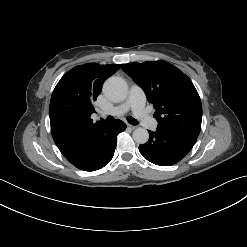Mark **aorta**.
Returning <instances> with one entry per match:
<instances>
[{
  "instance_id": "762f6f07",
  "label": "aorta",
  "mask_w": 247,
  "mask_h": 247,
  "mask_svg": "<svg viewBox=\"0 0 247 247\" xmlns=\"http://www.w3.org/2000/svg\"><path fill=\"white\" fill-rule=\"evenodd\" d=\"M103 94L105 97L115 103L124 101L128 96V86L126 82L118 77H111L103 85ZM132 137L138 144H145L149 139V133L144 128H136Z\"/></svg>"
}]
</instances>
